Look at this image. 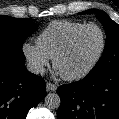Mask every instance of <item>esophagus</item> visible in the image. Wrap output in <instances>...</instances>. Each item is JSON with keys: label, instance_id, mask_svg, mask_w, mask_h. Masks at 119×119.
Segmentation results:
<instances>
[{"label": "esophagus", "instance_id": "esophagus-1", "mask_svg": "<svg viewBox=\"0 0 119 119\" xmlns=\"http://www.w3.org/2000/svg\"><path fill=\"white\" fill-rule=\"evenodd\" d=\"M57 86L53 83L47 82L46 83V90L47 91H56Z\"/></svg>", "mask_w": 119, "mask_h": 119}]
</instances>
